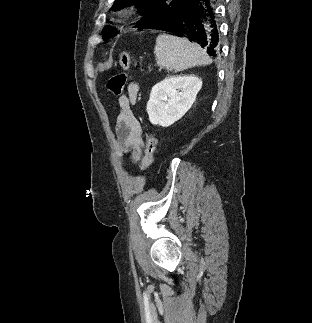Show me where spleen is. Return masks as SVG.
I'll return each instance as SVG.
<instances>
[{
  "mask_svg": "<svg viewBox=\"0 0 312 323\" xmlns=\"http://www.w3.org/2000/svg\"><path fill=\"white\" fill-rule=\"evenodd\" d=\"M156 62L160 68H171L183 72L194 66H207L212 60L199 44H192L188 38H177L160 34L154 48Z\"/></svg>",
  "mask_w": 312,
  "mask_h": 323,
  "instance_id": "obj_1",
  "label": "spleen"
}]
</instances>
